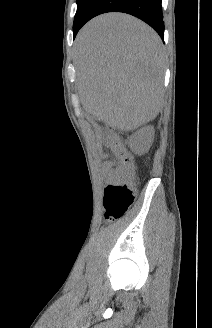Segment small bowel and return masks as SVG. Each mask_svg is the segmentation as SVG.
I'll list each match as a JSON object with an SVG mask.
<instances>
[{
    "mask_svg": "<svg viewBox=\"0 0 212 328\" xmlns=\"http://www.w3.org/2000/svg\"><path fill=\"white\" fill-rule=\"evenodd\" d=\"M113 166H115V163H114V162L107 161V162H105V164H104V169H105L106 171H111L112 168H113ZM119 172H120V170L117 169L116 173L118 174Z\"/></svg>",
    "mask_w": 212,
    "mask_h": 328,
    "instance_id": "c3829d8e",
    "label": "small bowel"
}]
</instances>
